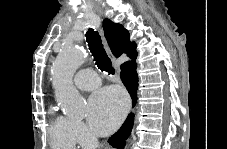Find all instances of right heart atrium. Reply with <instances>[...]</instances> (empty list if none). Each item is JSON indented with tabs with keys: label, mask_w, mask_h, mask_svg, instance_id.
Returning <instances> with one entry per match:
<instances>
[{
	"label": "right heart atrium",
	"mask_w": 227,
	"mask_h": 149,
	"mask_svg": "<svg viewBox=\"0 0 227 149\" xmlns=\"http://www.w3.org/2000/svg\"><path fill=\"white\" fill-rule=\"evenodd\" d=\"M71 132L75 142L81 145H91L93 136L86 125L80 121H71Z\"/></svg>",
	"instance_id": "obj_1"
}]
</instances>
